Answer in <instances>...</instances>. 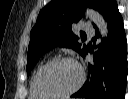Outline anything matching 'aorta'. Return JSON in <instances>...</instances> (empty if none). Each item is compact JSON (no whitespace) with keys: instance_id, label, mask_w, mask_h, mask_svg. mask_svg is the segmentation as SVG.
I'll list each match as a JSON object with an SVG mask.
<instances>
[{"instance_id":"1","label":"aorta","mask_w":128,"mask_h":99,"mask_svg":"<svg viewBox=\"0 0 128 99\" xmlns=\"http://www.w3.org/2000/svg\"><path fill=\"white\" fill-rule=\"evenodd\" d=\"M86 15L96 24L100 31V34L103 37H106L108 34V27L107 22L105 21L103 16L93 9H87Z\"/></svg>"}]
</instances>
